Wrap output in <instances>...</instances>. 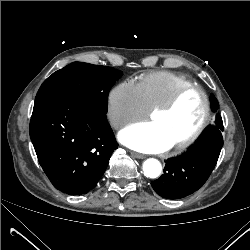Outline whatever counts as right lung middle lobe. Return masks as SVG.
<instances>
[{"label":"right lung middle lobe","instance_id":"right-lung-middle-lobe-1","mask_svg":"<svg viewBox=\"0 0 250 250\" xmlns=\"http://www.w3.org/2000/svg\"><path fill=\"white\" fill-rule=\"evenodd\" d=\"M122 74L110 67L74 62L44 81L35 102L64 98L107 113L109 90Z\"/></svg>","mask_w":250,"mask_h":250}]
</instances>
